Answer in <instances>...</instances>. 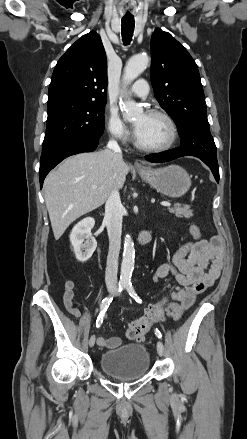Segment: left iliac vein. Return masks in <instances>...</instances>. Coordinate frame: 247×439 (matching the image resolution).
Wrapping results in <instances>:
<instances>
[{
	"mask_svg": "<svg viewBox=\"0 0 247 439\" xmlns=\"http://www.w3.org/2000/svg\"><path fill=\"white\" fill-rule=\"evenodd\" d=\"M157 352L160 356H163V354H164V346H163V343L161 341L157 342Z\"/></svg>",
	"mask_w": 247,
	"mask_h": 439,
	"instance_id": "4c4485c4",
	"label": "left iliac vein"
}]
</instances>
